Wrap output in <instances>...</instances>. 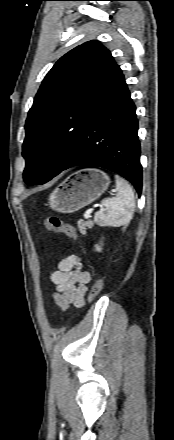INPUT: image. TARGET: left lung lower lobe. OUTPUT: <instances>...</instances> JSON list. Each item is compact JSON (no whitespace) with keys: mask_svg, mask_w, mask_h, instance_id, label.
<instances>
[{"mask_svg":"<svg viewBox=\"0 0 174 440\" xmlns=\"http://www.w3.org/2000/svg\"><path fill=\"white\" fill-rule=\"evenodd\" d=\"M137 133L136 108L117 66L110 84L85 120L76 153L61 171L81 165L106 168L128 179L140 196L142 166Z\"/></svg>","mask_w":174,"mask_h":440,"instance_id":"left-lung-lower-lobe-1","label":"left lung lower lobe"}]
</instances>
